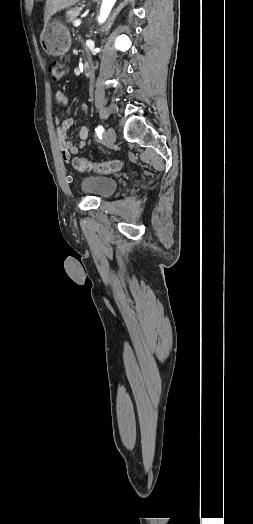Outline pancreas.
I'll list each match as a JSON object with an SVG mask.
<instances>
[{"label":"pancreas","instance_id":"pancreas-1","mask_svg":"<svg viewBox=\"0 0 253 524\" xmlns=\"http://www.w3.org/2000/svg\"><path fill=\"white\" fill-rule=\"evenodd\" d=\"M81 10H82V8L78 7V6L69 9L67 11V13H66L67 19L68 20H75L79 16Z\"/></svg>","mask_w":253,"mask_h":524}]
</instances>
